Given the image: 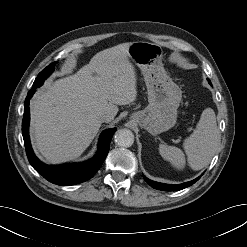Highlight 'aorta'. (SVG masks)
I'll list each match as a JSON object with an SVG mask.
<instances>
[{"mask_svg":"<svg viewBox=\"0 0 247 247\" xmlns=\"http://www.w3.org/2000/svg\"><path fill=\"white\" fill-rule=\"evenodd\" d=\"M114 140L119 147L128 148L134 143V134L129 129H119L115 133Z\"/></svg>","mask_w":247,"mask_h":247,"instance_id":"1","label":"aorta"}]
</instances>
